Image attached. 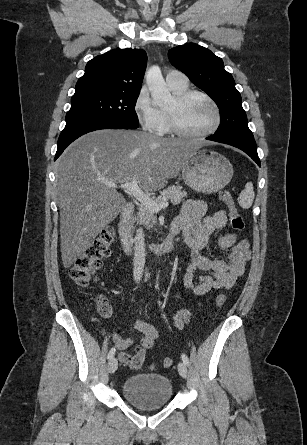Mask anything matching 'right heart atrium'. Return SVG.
<instances>
[{"instance_id": "obj_1", "label": "right heart atrium", "mask_w": 307, "mask_h": 445, "mask_svg": "<svg viewBox=\"0 0 307 445\" xmlns=\"http://www.w3.org/2000/svg\"><path fill=\"white\" fill-rule=\"evenodd\" d=\"M133 113L144 131L158 134L163 126V114L149 92L142 88L133 103Z\"/></svg>"}]
</instances>
